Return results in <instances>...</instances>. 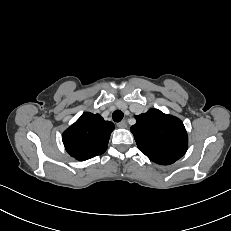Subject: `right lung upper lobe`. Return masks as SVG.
I'll return each instance as SVG.
<instances>
[{
	"instance_id": "obj_1",
	"label": "right lung upper lobe",
	"mask_w": 231,
	"mask_h": 231,
	"mask_svg": "<svg viewBox=\"0 0 231 231\" xmlns=\"http://www.w3.org/2000/svg\"><path fill=\"white\" fill-rule=\"evenodd\" d=\"M114 124L99 114L86 112L63 133L66 151L83 161L103 154L108 145Z\"/></svg>"
}]
</instances>
